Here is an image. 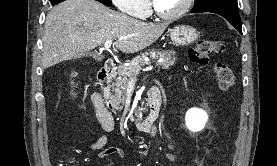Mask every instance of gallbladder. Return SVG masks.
Masks as SVG:
<instances>
[{
	"instance_id": "1",
	"label": "gallbladder",
	"mask_w": 277,
	"mask_h": 166,
	"mask_svg": "<svg viewBox=\"0 0 277 166\" xmlns=\"http://www.w3.org/2000/svg\"><path fill=\"white\" fill-rule=\"evenodd\" d=\"M91 57H93L94 59H97L98 58V54L97 53H90L89 54Z\"/></svg>"
}]
</instances>
